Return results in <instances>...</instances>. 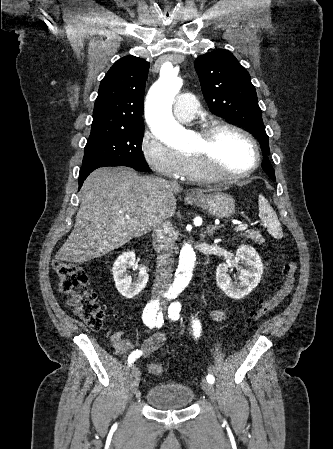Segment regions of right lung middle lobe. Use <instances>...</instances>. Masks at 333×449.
<instances>
[{"instance_id":"right-lung-middle-lobe-1","label":"right lung middle lobe","mask_w":333,"mask_h":449,"mask_svg":"<svg viewBox=\"0 0 333 449\" xmlns=\"http://www.w3.org/2000/svg\"><path fill=\"white\" fill-rule=\"evenodd\" d=\"M143 125L128 129L98 128L84 149L82 167L127 166L147 168L141 144Z\"/></svg>"}]
</instances>
